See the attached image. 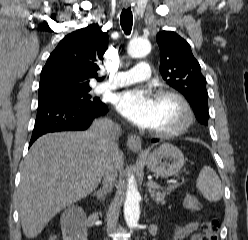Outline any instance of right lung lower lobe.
Here are the masks:
<instances>
[{"instance_id":"right-lung-lower-lobe-1","label":"right lung lower lobe","mask_w":248,"mask_h":240,"mask_svg":"<svg viewBox=\"0 0 248 240\" xmlns=\"http://www.w3.org/2000/svg\"><path fill=\"white\" fill-rule=\"evenodd\" d=\"M104 103L94 106H78L68 103L38 104L37 117L30 146L41 135L56 131L85 130L94 118L105 115Z\"/></svg>"}]
</instances>
